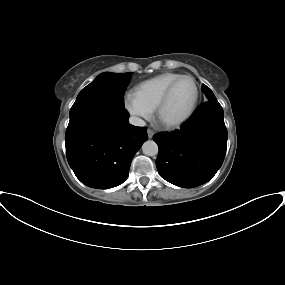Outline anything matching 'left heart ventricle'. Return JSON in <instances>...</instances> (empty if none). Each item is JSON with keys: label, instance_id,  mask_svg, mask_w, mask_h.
Listing matches in <instances>:
<instances>
[{"label": "left heart ventricle", "instance_id": "obj_1", "mask_svg": "<svg viewBox=\"0 0 285 285\" xmlns=\"http://www.w3.org/2000/svg\"><path fill=\"white\" fill-rule=\"evenodd\" d=\"M195 97V87L190 79L180 80L162 111V119L170 122L180 119L190 109Z\"/></svg>", "mask_w": 285, "mask_h": 285}]
</instances>
